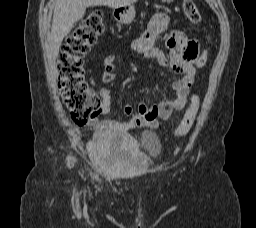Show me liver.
Returning <instances> with one entry per match:
<instances>
[{"label":"liver","mask_w":256,"mask_h":228,"mask_svg":"<svg viewBox=\"0 0 256 228\" xmlns=\"http://www.w3.org/2000/svg\"><path fill=\"white\" fill-rule=\"evenodd\" d=\"M137 0H56L53 14L51 34L49 38L52 56L56 58L63 39L82 20L87 7L106 5L120 8Z\"/></svg>","instance_id":"liver-1"}]
</instances>
